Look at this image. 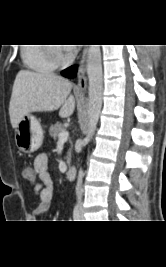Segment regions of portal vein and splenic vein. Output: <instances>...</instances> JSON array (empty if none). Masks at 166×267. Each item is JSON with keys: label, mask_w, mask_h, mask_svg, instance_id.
Here are the masks:
<instances>
[{"label": "portal vein and splenic vein", "mask_w": 166, "mask_h": 267, "mask_svg": "<svg viewBox=\"0 0 166 267\" xmlns=\"http://www.w3.org/2000/svg\"><path fill=\"white\" fill-rule=\"evenodd\" d=\"M68 137H69V133L67 131H63L58 136V142L59 143L66 142L68 140Z\"/></svg>", "instance_id": "1"}]
</instances>
